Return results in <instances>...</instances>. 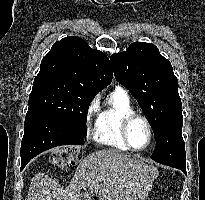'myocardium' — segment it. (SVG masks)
<instances>
[{
    "mask_svg": "<svg viewBox=\"0 0 205 200\" xmlns=\"http://www.w3.org/2000/svg\"><path fill=\"white\" fill-rule=\"evenodd\" d=\"M136 119L142 120L146 124V126L148 128V132H149L148 141H147L146 145L144 147H142V148L134 147L131 144L130 139H129V128H130V125ZM121 136L123 138V141L125 142V144L127 145V147L130 150L139 152V151H143V150L147 149L151 145V143L153 141V128H152V125H151L149 119L146 116L134 112L132 114L127 115L122 120V123H121Z\"/></svg>",
    "mask_w": 205,
    "mask_h": 200,
    "instance_id": "f54148a6",
    "label": "myocardium"
}]
</instances>
